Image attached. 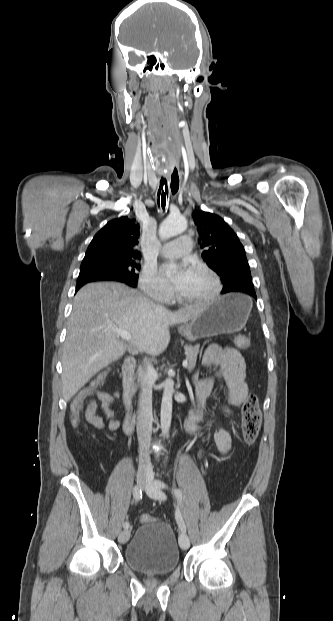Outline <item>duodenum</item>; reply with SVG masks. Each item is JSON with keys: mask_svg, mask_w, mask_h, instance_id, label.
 Here are the masks:
<instances>
[{"mask_svg": "<svg viewBox=\"0 0 333 621\" xmlns=\"http://www.w3.org/2000/svg\"><path fill=\"white\" fill-rule=\"evenodd\" d=\"M135 359L128 357L124 360L122 365V387H123V405L125 409V417L123 420L122 428L125 433L132 434L135 430V420L131 411V403L133 396V373L135 369ZM189 422H196V418L189 416Z\"/></svg>", "mask_w": 333, "mask_h": 621, "instance_id": "1", "label": "duodenum"}]
</instances>
